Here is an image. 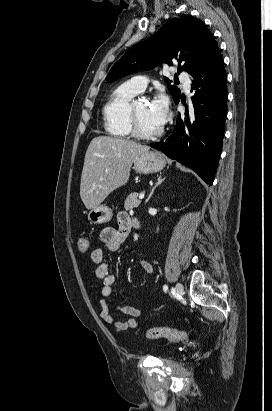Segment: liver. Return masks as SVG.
<instances>
[{
	"instance_id": "obj_1",
	"label": "liver",
	"mask_w": 272,
	"mask_h": 411,
	"mask_svg": "<svg viewBox=\"0 0 272 411\" xmlns=\"http://www.w3.org/2000/svg\"><path fill=\"white\" fill-rule=\"evenodd\" d=\"M148 150V146L122 138H93L85 154L80 183L85 207L99 206L112 191L125 185L133 160Z\"/></svg>"
}]
</instances>
